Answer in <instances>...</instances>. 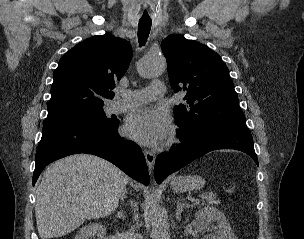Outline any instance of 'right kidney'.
Wrapping results in <instances>:
<instances>
[{
  "label": "right kidney",
  "mask_w": 304,
  "mask_h": 239,
  "mask_svg": "<svg viewBox=\"0 0 304 239\" xmlns=\"http://www.w3.org/2000/svg\"><path fill=\"white\" fill-rule=\"evenodd\" d=\"M105 233V227L102 224L90 223L80 229L75 239H89L95 236H102Z\"/></svg>",
  "instance_id": "obj_1"
}]
</instances>
